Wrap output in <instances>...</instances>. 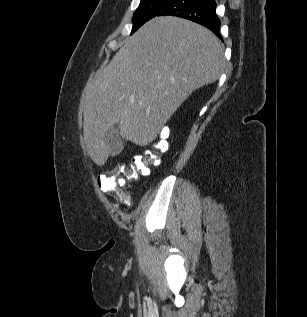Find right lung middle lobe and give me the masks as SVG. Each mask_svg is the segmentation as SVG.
I'll use <instances>...</instances> for the list:
<instances>
[{"mask_svg":"<svg viewBox=\"0 0 307 317\" xmlns=\"http://www.w3.org/2000/svg\"><path fill=\"white\" fill-rule=\"evenodd\" d=\"M171 2L172 0H141L139 7L133 14L131 34L138 30L145 22L158 16Z\"/></svg>","mask_w":307,"mask_h":317,"instance_id":"right-lung-middle-lobe-1","label":"right lung middle lobe"}]
</instances>
